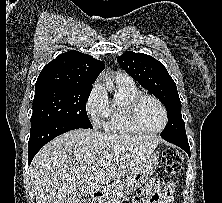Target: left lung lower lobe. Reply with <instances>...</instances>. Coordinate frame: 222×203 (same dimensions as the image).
Wrapping results in <instances>:
<instances>
[{"label": "left lung lower lobe", "mask_w": 222, "mask_h": 203, "mask_svg": "<svg viewBox=\"0 0 222 203\" xmlns=\"http://www.w3.org/2000/svg\"><path fill=\"white\" fill-rule=\"evenodd\" d=\"M166 141L173 143L180 148H182L190 157V147L187 138H172V137H162Z\"/></svg>", "instance_id": "left-lung-lower-lobe-1"}]
</instances>
